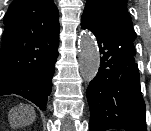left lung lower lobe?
<instances>
[{
    "label": "left lung lower lobe",
    "mask_w": 151,
    "mask_h": 131,
    "mask_svg": "<svg viewBox=\"0 0 151 131\" xmlns=\"http://www.w3.org/2000/svg\"><path fill=\"white\" fill-rule=\"evenodd\" d=\"M81 26L96 36L102 55L97 76L87 88L90 131H147L139 70L124 32L89 17L82 18Z\"/></svg>",
    "instance_id": "1"
}]
</instances>
